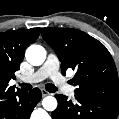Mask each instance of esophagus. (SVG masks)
<instances>
[{
    "label": "esophagus",
    "instance_id": "obj_1",
    "mask_svg": "<svg viewBox=\"0 0 119 119\" xmlns=\"http://www.w3.org/2000/svg\"><path fill=\"white\" fill-rule=\"evenodd\" d=\"M41 94H42L43 97L47 96V95H50V93L48 91L44 90V89L41 90Z\"/></svg>",
    "mask_w": 119,
    "mask_h": 119
}]
</instances>
